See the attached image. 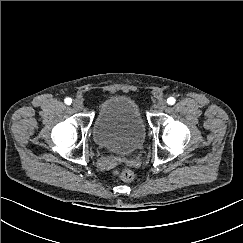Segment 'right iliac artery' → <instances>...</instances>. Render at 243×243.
<instances>
[{
    "label": "right iliac artery",
    "instance_id": "1",
    "mask_svg": "<svg viewBox=\"0 0 243 243\" xmlns=\"http://www.w3.org/2000/svg\"><path fill=\"white\" fill-rule=\"evenodd\" d=\"M65 103H66L67 105H70V104L72 103V99H71V98H66V99H65Z\"/></svg>",
    "mask_w": 243,
    "mask_h": 243
}]
</instances>
